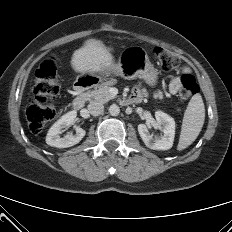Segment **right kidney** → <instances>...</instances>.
Segmentation results:
<instances>
[{
	"mask_svg": "<svg viewBox=\"0 0 232 232\" xmlns=\"http://www.w3.org/2000/svg\"><path fill=\"white\" fill-rule=\"evenodd\" d=\"M76 116L77 112L73 110L63 115L54 123L47 133L46 143L57 148H67L78 144L86 134L85 130L80 127L75 128V135H66L63 138L60 137L62 130L71 126Z\"/></svg>",
	"mask_w": 232,
	"mask_h": 232,
	"instance_id": "ca27d5eb",
	"label": "right kidney"
}]
</instances>
